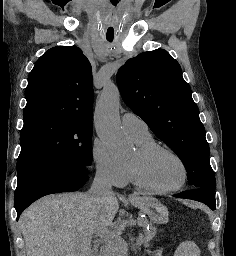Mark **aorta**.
<instances>
[{
	"label": "aorta",
	"instance_id": "1",
	"mask_svg": "<svg viewBox=\"0 0 236 256\" xmlns=\"http://www.w3.org/2000/svg\"><path fill=\"white\" fill-rule=\"evenodd\" d=\"M120 92L115 84L108 83L96 104L94 124L99 138L113 150L127 147L119 117Z\"/></svg>",
	"mask_w": 236,
	"mask_h": 256
}]
</instances>
